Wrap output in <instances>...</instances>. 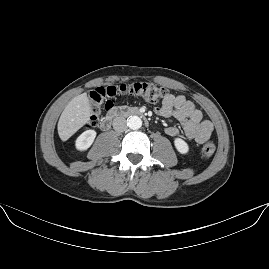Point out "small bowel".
Listing matches in <instances>:
<instances>
[{
    "label": "small bowel",
    "mask_w": 269,
    "mask_h": 269,
    "mask_svg": "<svg viewBox=\"0 0 269 269\" xmlns=\"http://www.w3.org/2000/svg\"><path fill=\"white\" fill-rule=\"evenodd\" d=\"M162 117H174L182 125L186 136L198 144L205 143L213 134V124L203 119L202 112L183 95L168 94L156 109ZM166 133L177 136L176 127H168Z\"/></svg>",
    "instance_id": "obj_1"
}]
</instances>
